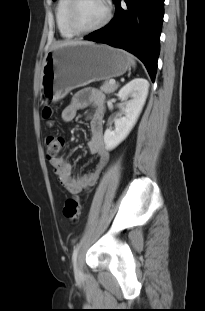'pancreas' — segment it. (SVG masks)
<instances>
[{
	"label": "pancreas",
	"mask_w": 205,
	"mask_h": 311,
	"mask_svg": "<svg viewBox=\"0 0 205 311\" xmlns=\"http://www.w3.org/2000/svg\"><path fill=\"white\" fill-rule=\"evenodd\" d=\"M118 88V85L111 84L110 81L106 80L103 85L100 87V90L103 91L106 94H110L114 92Z\"/></svg>",
	"instance_id": "obj_1"
}]
</instances>
